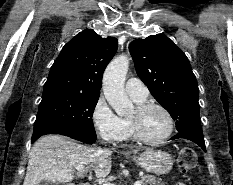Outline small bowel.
<instances>
[{
	"label": "small bowel",
	"instance_id": "small-bowel-1",
	"mask_svg": "<svg viewBox=\"0 0 233 185\" xmlns=\"http://www.w3.org/2000/svg\"><path fill=\"white\" fill-rule=\"evenodd\" d=\"M175 185H186V184L183 182H177Z\"/></svg>",
	"mask_w": 233,
	"mask_h": 185
}]
</instances>
